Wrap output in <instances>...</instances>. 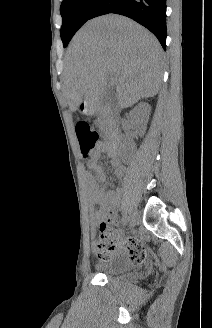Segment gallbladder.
I'll return each instance as SVG.
<instances>
[{
	"mask_svg": "<svg viewBox=\"0 0 212 328\" xmlns=\"http://www.w3.org/2000/svg\"><path fill=\"white\" fill-rule=\"evenodd\" d=\"M111 97H112V93L110 91H108L107 93H105L104 95H102L100 97V103L102 105H106L109 102V100L111 99Z\"/></svg>",
	"mask_w": 212,
	"mask_h": 328,
	"instance_id": "gallbladder-1",
	"label": "gallbladder"
}]
</instances>
